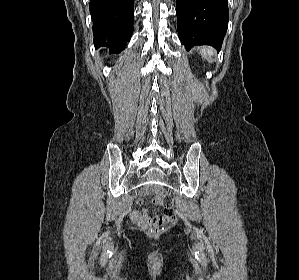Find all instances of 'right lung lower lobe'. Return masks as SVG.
I'll return each mask as SVG.
<instances>
[{
	"label": "right lung lower lobe",
	"mask_w": 299,
	"mask_h": 280,
	"mask_svg": "<svg viewBox=\"0 0 299 280\" xmlns=\"http://www.w3.org/2000/svg\"><path fill=\"white\" fill-rule=\"evenodd\" d=\"M94 44L120 53L133 33L134 0H90Z\"/></svg>",
	"instance_id": "1"
}]
</instances>
